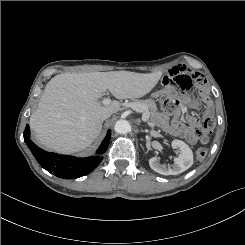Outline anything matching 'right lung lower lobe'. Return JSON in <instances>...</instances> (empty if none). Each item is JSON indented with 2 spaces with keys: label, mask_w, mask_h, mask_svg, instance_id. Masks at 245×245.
I'll return each mask as SVG.
<instances>
[{
  "label": "right lung lower lobe",
  "mask_w": 245,
  "mask_h": 245,
  "mask_svg": "<svg viewBox=\"0 0 245 245\" xmlns=\"http://www.w3.org/2000/svg\"><path fill=\"white\" fill-rule=\"evenodd\" d=\"M29 135L30 128L27 125L23 133L24 141L44 169L59 178L76 179L92 172L102 161V157L100 155L108 148L111 138V130L107 131L106 137L97 150V153L100 155L88 158H77L44 151L30 140Z\"/></svg>",
  "instance_id": "obj_1"
}]
</instances>
